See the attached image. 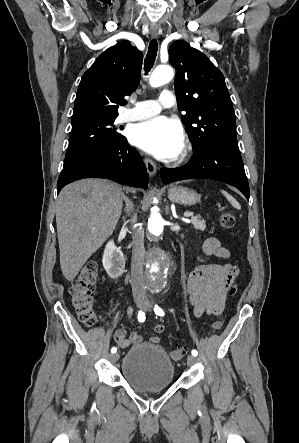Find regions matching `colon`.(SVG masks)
Listing matches in <instances>:
<instances>
[{"instance_id": "1", "label": "colon", "mask_w": 299, "mask_h": 443, "mask_svg": "<svg viewBox=\"0 0 299 443\" xmlns=\"http://www.w3.org/2000/svg\"><path fill=\"white\" fill-rule=\"evenodd\" d=\"M236 218L232 212H224L221 215V224L223 227L230 229L235 226ZM99 275V266L96 261L87 262L82 270L75 278L69 293L71 297V304L75 310L79 320L86 326H93L97 323L98 318L92 307L93 294L96 282ZM236 287L232 286L229 290V295L235 294ZM223 319L216 320L211 326V332L218 331L223 326ZM186 354L184 348H177L170 352L173 360H181Z\"/></svg>"}]
</instances>
